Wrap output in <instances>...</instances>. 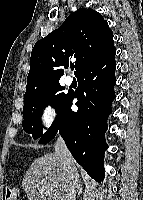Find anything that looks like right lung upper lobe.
Segmentation results:
<instances>
[{
	"mask_svg": "<svg viewBox=\"0 0 143 200\" xmlns=\"http://www.w3.org/2000/svg\"><path fill=\"white\" fill-rule=\"evenodd\" d=\"M114 48L113 32L102 15L80 8L64 23L39 40L31 53L26 94L46 85L59 83L63 68L75 60V75Z\"/></svg>",
	"mask_w": 143,
	"mask_h": 200,
	"instance_id": "right-lung-upper-lobe-1",
	"label": "right lung upper lobe"
}]
</instances>
